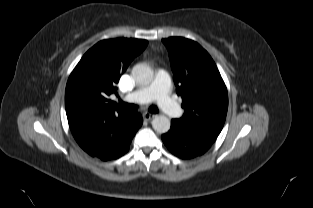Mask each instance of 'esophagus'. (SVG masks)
I'll list each match as a JSON object with an SVG mask.
<instances>
[{"mask_svg":"<svg viewBox=\"0 0 313 208\" xmlns=\"http://www.w3.org/2000/svg\"><path fill=\"white\" fill-rule=\"evenodd\" d=\"M155 117V114H151V113H148V112H145V113H143V118L145 119V120H151V119H153Z\"/></svg>","mask_w":313,"mask_h":208,"instance_id":"esophagus-1","label":"esophagus"}]
</instances>
